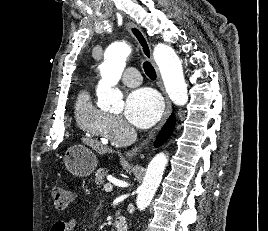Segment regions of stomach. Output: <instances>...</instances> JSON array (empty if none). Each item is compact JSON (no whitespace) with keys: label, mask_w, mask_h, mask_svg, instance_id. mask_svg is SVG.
I'll use <instances>...</instances> for the list:
<instances>
[{"label":"stomach","mask_w":268,"mask_h":231,"mask_svg":"<svg viewBox=\"0 0 268 231\" xmlns=\"http://www.w3.org/2000/svg\"><path fill=\"white\" fill-rule=\"evenodd\" d=\"M63 159L67 170L78 177L92 174L98 163L92 150L81 144L68 148Z\"/></svg>","instance_id":"obj_1"}]
</instances>
